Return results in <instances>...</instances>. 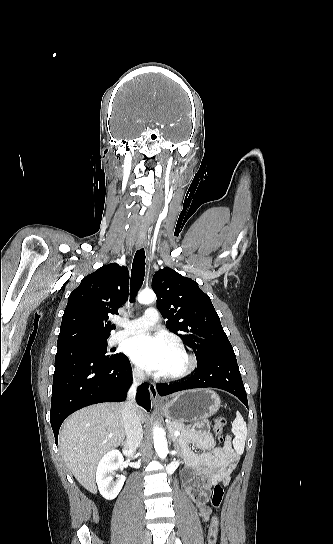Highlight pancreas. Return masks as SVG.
Masks as SVG:
<instances>
[{
    "label": "pancreas",
    "mask_w": 333,
    "mask_h": 544,
    "mask_svg": "<svg viewBox=\"0 0 333 544\" xmlns=\"http://www.w3.org/2000/svg\"><path fill=\"white\" fill-rule=\"evenodd\" d=\"M167 428L174 439H177V437L174 435L175 431H179L182 434L191 433L192 431L189 427H186L181 422L175 420H169L167 422Z\"/></svg>",
    "instance_id": "cf45deb5"
}]
</instances>
